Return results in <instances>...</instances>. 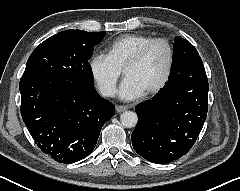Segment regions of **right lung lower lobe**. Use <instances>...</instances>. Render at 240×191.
<instances>
[{"label":"right lung lower lobe","mask_w":240,"mask_h":191,"mask_svg":"<svg viewBox=\"0 0 240 191\" xmlns=\"http://www.w3.org/2000/svg\"><path fill=\"white\" fill-rule=\"evenodd\" d=\"M21 116L42 152L71 164L94 149L102 126L115 107L94 86L56 77H26L19 84Z\"/></svg>","instance_id":"98d812e1"}]
</instances>
